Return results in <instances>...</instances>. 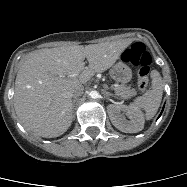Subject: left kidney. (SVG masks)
Masks as SVG:
<instances>
[{
	"label": "left kidney",
	"mask_w": 187,
	"mask_h": 187,
	"mask_svg": "<svg viewBox=\"0 0 187 187\" xmlns=\"http://www.w3.org/2000/svg\"><path fill=\"white\" fill-rule=\"evenodd\" d=\"M112 124L125 133H136L144 127V117L139 107L131 104H110L107 107ZM125 115L130 119L127 121Z\"/></svg>",
	"instance_id": "obj_1"
}]
</instances>
